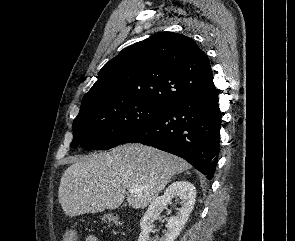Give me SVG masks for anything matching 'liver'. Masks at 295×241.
Returning <instances> with one entry per match:
<instances>
[{
    "label": "liver",
    "mask_w": 295,
    "mask_h": 241,
    "mask_svg": "<svg viewBox=\"0 0 295 241\" xmlns=\"http://www.w3.org/2000/svg\"><path fill=\"white\" fill-rule=\"evenodd\" d=\"M184 159L140 144H124L109 152L74 158L64 171L58 199L67 216L118 208L126 190L143 187L127 197L134 208L147 207L177 173L188 172Z\"/></svg>",
    "instance_id": "obj_1"
}]
</instances>
